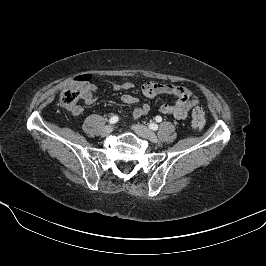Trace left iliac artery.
<instances>
[{"label":"left iliac artery","mask_w":266,"mask_h":266,"mask_svg":"<svg viewBox=\"0 0 266 266\" xmlns=\"http://www.w3.org/2000/svg\"><path fill=\"white\" fill-rule=\"evenodd\" d=\"M155 120H156L157 122H161V121H162V118H161V116H156ZM149 127H150V129H152V130H154V131H156V130L158 129V125L155 124V123H151V124L149 125Z\"/></svg>","instance_id":"obj_1"}]
</instances>
